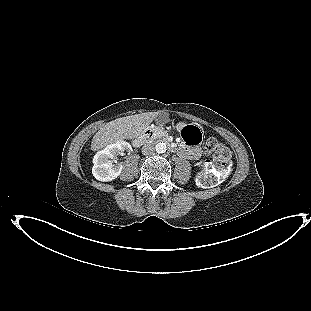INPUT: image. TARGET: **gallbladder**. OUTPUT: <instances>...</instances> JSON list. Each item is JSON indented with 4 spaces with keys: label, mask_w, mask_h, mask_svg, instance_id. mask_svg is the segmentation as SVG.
<instances>
[{
    "label": "gallbladder",
    "mask_w": 311,
    "mask_h": 311,
    "mask_svg": "<svg viewBox=\"0 0 311 311\" xmlns=\"http://www.w3.org/2000/svg\"><path fill=\"white\" fill-rule=\"evenodd\" d=\"M157 122H159L160 124H164L166 122H168L169 120V115L166 112H162L159 113V115L156 118Z\"/></svg>",
    "instance_id": "1"
}]
</instances>
